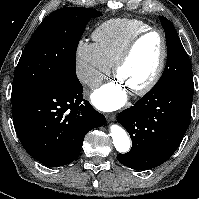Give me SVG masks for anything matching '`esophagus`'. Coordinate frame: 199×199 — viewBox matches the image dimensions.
I'll return each instance as SVG.
<instances>
[{"instance_id":"esophagus-1","label":"esophagus","mask_w":199,"mask_h":199,"mask_svg":"<svg viewBox=\"0 0 199 199\" xmlns=\"http://www.w3.org/2000/svg\"><path fill=\"white\" fill-rule=\"evenodd\" d=\"M106 118H107L108 120H110V121H113V120H115L116 115H115L114 113H110V114H107V115H106Z\"/></svg>"}]
</instances>
